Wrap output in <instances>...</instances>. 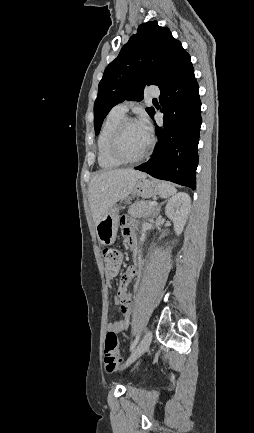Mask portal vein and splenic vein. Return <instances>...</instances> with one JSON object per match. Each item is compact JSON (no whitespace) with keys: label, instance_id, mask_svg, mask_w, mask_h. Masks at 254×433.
<instances>
[{"label":"portal vein and splenic vein","instance_id":"portal-vein-and-splenic-vein-1","mask_svg":"<svg viewBox=\"0 0 254 433\" xmlns=\"http://www.w3.org/2000/svg\"><path fill=\"white\" fill-rule=\"evenodd\" d=\"M156 205H157V202H155V201L151 202V204H150V206H156Z\"/></svg>","mask_w":254,"mask_h":433}]
</instances>
